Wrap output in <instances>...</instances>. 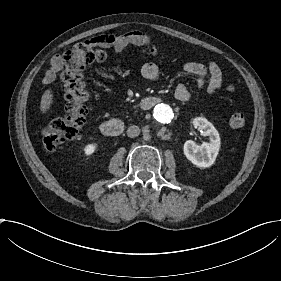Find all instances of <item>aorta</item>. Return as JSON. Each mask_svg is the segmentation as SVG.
Segmentation results:
<instances>
[{"instance_id": "1", "label": "aorta", "mask_w": 281, "mask_h": 281, "mask_svg": "<svg viewBox=\"0 0 281 281\" xmlns=\"http://www.w3.org/2000/svg\"><path fill=\"white\" fill-rule=\"evenodd\" d=\"M153 116L159 125L170 123L174 117L172 108L167 104H158L154 108Z\"/></svg>"}]
</instances>
